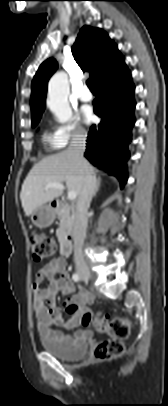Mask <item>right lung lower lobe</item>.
Masks as SVG:
<instances>
[{"label":"right lung lower lobe","mask_w":168,"mask_h":406,"mask_svg":"<svg viewBox=\"0 0 168 406\" xmlns=\"http://www.w3.org/2000/svg\"><path fill=\"white\" fill-rule=\"evenodd\" d=\"M134 85L125 66L96 85L94 112L101 123L90 128L84 156L116 176L121 186L127 181V151L134 119Z\"/></svg>","instance_id":"right-lung-lower-lobe-1"}]
</instances>
